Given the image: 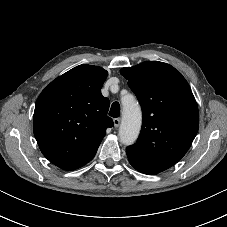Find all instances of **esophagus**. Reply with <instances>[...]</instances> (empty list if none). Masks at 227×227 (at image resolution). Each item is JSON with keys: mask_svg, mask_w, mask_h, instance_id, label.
<instances>
[{"mask_svg": "<svg viewBox=\"0 0 227 227\" xmlns=\"http://www.w3.org/2000/svg\"><path fill=\"white\" fill-rule=\"evenodd\" d=\"M114 126L117 128L119 127L120 123H121V119L120 118H115L113 120Z\"/></svg>", "mask_w": 227, "mask_h": 227, "instance_id": "obj_1", "label": "esophagus"}]
</instances>
